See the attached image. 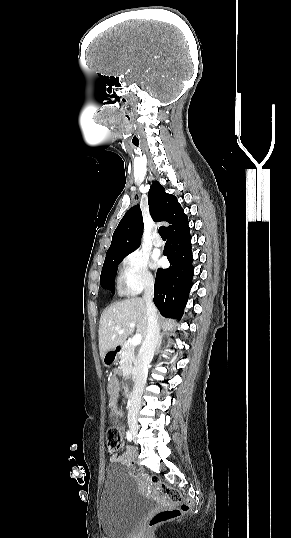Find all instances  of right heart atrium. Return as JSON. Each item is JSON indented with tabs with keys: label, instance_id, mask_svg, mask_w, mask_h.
I'll return each mask as SVG.
<instances>
[{
	"label": "right heart atrium",
	"instance_id": "d8ad5b80",
	"mask_svg": "<svg viewBox=\"0 0 291 538\" xmlns=\"http://www.w3.org/2000/svg\"><path fill=\"white\" fill-rule=\"evenodd\" d=\"M121 280L125 292L136 295L145 289L152 287L154 278L149 271L148 259L140 251L128 253L120 263Z\"/></svg>",
	"mask_w": 291,
	"mask_h": 538
}]
</instances>
